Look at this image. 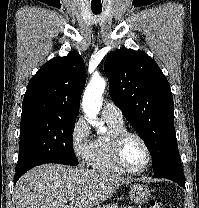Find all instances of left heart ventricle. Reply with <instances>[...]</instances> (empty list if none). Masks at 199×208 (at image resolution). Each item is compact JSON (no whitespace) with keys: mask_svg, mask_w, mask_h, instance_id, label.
<instances>
[{"mask_svg":"<svg viewBox=\"0 0 199 208\" xmlns=\"http://www.w3.org/2000/svg\"><path fill=\"white\" fill-rule=\"evenodd\" d=\"M123 159L131 169H139L145 164L147 153L138 139L130 137L126 140L123 146Z\"/></svg>","mask_w":199,"mask_h":208,"instance_id":"left-heart-ventricle-1","label":"left heart ventricle"}]
</instances>
